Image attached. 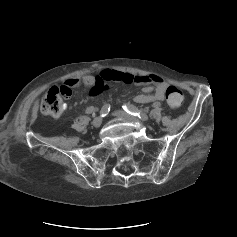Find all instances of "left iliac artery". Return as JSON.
Instances as JSON below:
<instances>
[{
	"label": "left iliac artery",
	"mask_w": 237,
	"mask_h": 237,
	"mask_svg": "<svg viewBox=\"0 0 237 237\" xmlns=\"http://www.w3.org/2000/svg\"><path fill=\"white\" fill-rule=\"evenodd\" d=\"M152 106L155 107V108H158V107L161 106V103L160 102H155V103H153ZM123 109L131 115L137 116L139 118L143 117L142 112L140 110H138V108L135 107L134 105L126 104V105L123 106Z\"/></svg>",
	"instance_id": "left-iliac-artery-1"
}]
</instances>
